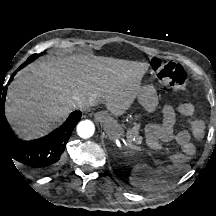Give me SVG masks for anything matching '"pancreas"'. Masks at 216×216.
Wrapping results in <instances>:
<instances>
[{"label": "pancreas", "mask_w": 216, "mask_h": 216, "mask_svg": "<svg viewBox=\"0 0 216 216\" xmlns=\"http://www.w3.org/2000/svg\"><path fill=\"white\" fill-rule=\"evenodd\" d=\"M132 142L136 144H140L142 142V137L139 135L137 127H135L128 133V144L131 146L132 149H140V147L132 144Z\"/></svg>", "instance_id": "cf45deb5"}]
</instances>
